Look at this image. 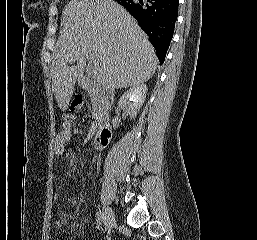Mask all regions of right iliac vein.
<instances>
[{
	"instance_id": "obj_1",
	"label": "right iliac vein",
	"mask_w": 257,
	"mask_h": 240,
	"mask_svg": "<svg viewBox=\"0 0 257 240\" xmlns=\"http://www.w3.org/2000/svg\"><path fill=\"white\" fill-rule=\"evenodd\" d=\"M103 214H104V222L108 227H112L113 225H115L116 223L115 214L109 206L104 205Z\"/></svg>"
}]
</instances>
